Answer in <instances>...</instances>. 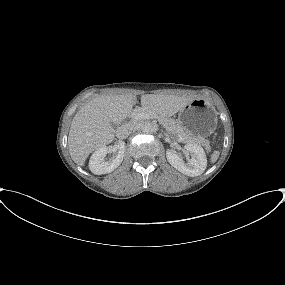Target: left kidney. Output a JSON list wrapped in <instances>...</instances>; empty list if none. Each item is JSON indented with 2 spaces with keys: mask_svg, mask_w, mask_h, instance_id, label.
Segmentation results:
<instances>
[{
  "mask_svg": "<svg viewBox=\"0 0 285 285\" xmlns=\"http://www.w3.org/2000/svg\"><path fill=\"white\" fill-rule=\"evenodd\" d=\"M185 149L192 154V158L187 163L175 152L168 150L166 152L168 162L187 176L195 177L201 175L207 166V158L204 149L193 143L185 145Z\"/></svg>",
  "mask_w": 285,
  "mask_h": 285,
  "instance_id": "obj_1",
  "label": "left kidney"
}]
</instances>
